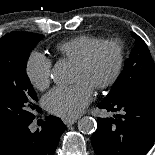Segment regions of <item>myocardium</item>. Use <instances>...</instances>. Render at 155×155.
<instances>
[{"instance_id":"f54148a6","label":"myocardium","mask_w":155,"mask_h":155,"mask_svg":"<svg viewBox=\"0 0 155 155\" xmlns=\"http://www.w3.org/2000/svg\"><path fill=\"white\" fill-rule=\"evenodd\" d=\"M105 46H112L117 51V61L115 68L112 74L105 79L104 81L97 83L94 85V88L97 90L105 89L112 86L121 76L123 67H124V46L121 41L117 39H106L98 42L93 47H91L87 53L75 63V66L85 69L87 68L93 61L94 57L98 53V51L105 47Z\"/></svg>"}]
</instances>
